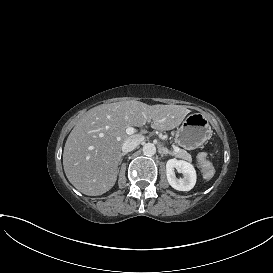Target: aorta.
<instances>
[{
  "label": "aorta",
  "mask_w": 273,
  "mask_h": 273,
  "mask_svg": "<svg viewBox=\"0 0 273 273\" xmlns=\"http://www.w3.org/2000/svg\"><path fill=\"white\" fill-rule=\"evenodd\" d=\"M142 150H143V154L146 156H153L156 153V147L152 143H145L143 145Z\"/></svg>",
  "instance_id": "aorta-1"
}]
</instances>
